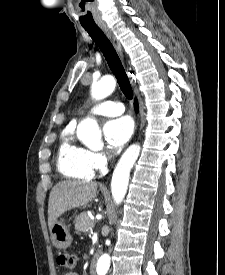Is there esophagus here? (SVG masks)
Segmentation results:
<instances>
[{
    "label": "esophagus",
    "mask_w": 225,
    "mask_h": 275,
    "mask_svg": "<svg viewBox=\"0 0 225 275\" xmlns=\"http://www.w3.org/2000/svg\"><path fill=\"white\" fill-rule=\"evenodd\" d=\"M100 28L105 33L107 38L111 41V43L113 44L114 48L116 49L118 54L121 56V58H123L122 46H121L119 40L113 34V32L106 25H101Z\"/></svg>",
    "instance_id": "34e87169"
}]
</instances>
